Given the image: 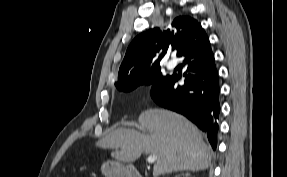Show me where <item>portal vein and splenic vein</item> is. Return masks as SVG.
Segmentation results:
<instances>
[{
    "mask_svg": "<svg viewBox=\"0 0 287 177\" xmlns=\"http://www.w3.org/2000/svg\"><path fill=\"white\" fill-rule=\"evenodd\" d=\"M157 157L155 155H149L147 158V162L149 164H153L156 161Z\"/></svg>",
    "mask_w": 287,
    "mask_h": 177,
    "instance_id": "18ae733b",
    "label": "portal vein and splenic vein"
}]
</instances>
